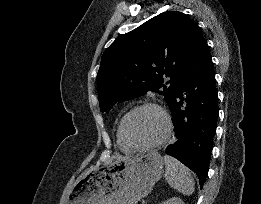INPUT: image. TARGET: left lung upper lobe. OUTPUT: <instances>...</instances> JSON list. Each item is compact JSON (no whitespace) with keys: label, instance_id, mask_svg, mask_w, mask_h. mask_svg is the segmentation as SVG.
I'll return each mask as SVG.
<instances>
[{"label":"left lung upper lobe","instance_id":"obj_1","mask_svg":"<svg viewBox=\"0 0 261 204\" xmlns=\"http://www.w3.org/2000/svg\"><path fill=\"white\" fill-rule=\"evenodd\" d=\"M199 30L185 14L166 11L117 38L102 55L97 74L101 111L148 91L164 95L170 106ZM163 76L171 79L164 84Z\"/></svg>","mask_w":261,"mask_h":204}]
</instances>
